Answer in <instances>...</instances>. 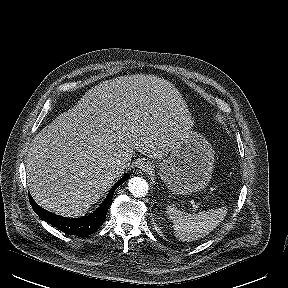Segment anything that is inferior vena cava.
I'll return each instance as SVG.
<instances>
[{
	"label": "inferior vena cava",
	"instance_id": "1",
	"mask_svg": "<svg viewBox=\"0 0 288 288\" xmlns=\"http://www.w3.org/2000/svg\"><path fill=\"white\" fill-rule=\"evenodd\" d=\"M126 167H127L126 161H124V160H116L110 166L109 174L115 175V174L124 172Z\"/></svg>",
	"mask_w": 288,
	"mask_h": 288
}]
</instances>
